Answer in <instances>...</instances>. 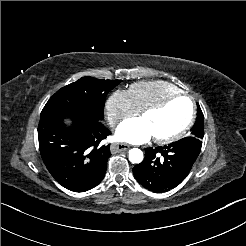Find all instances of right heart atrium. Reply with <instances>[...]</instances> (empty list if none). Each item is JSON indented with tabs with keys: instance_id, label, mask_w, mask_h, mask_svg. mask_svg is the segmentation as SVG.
Masks as SVG:
<instances>
[{
	"instance_id": "d8ad5b80",
	"label": "right heart atrium",
	"mask_w": 246,
	"mask_h": 246,
	"mask_svg": "<svg viewBox=\"0 0 246 246\" xmlns=\"http://www.w3.org/2000/svg\"><path fill=\"white\" fill-rule=\"evenodd\" d=\"M105 110L111 125L136 114L129 92L122 89H116L110 95Z\"/></svg>"
}]
</instances>
